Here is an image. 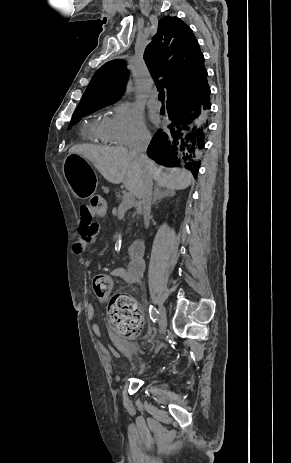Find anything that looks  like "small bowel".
<instances>
[{"label":"small bowel","instance_id":"1","mask_svg":"<svg viewBox=\"0 0 291 463\" xmlns=\"http://www.w3.org/2000/svg\"><path fill=\"white\" fill-rule=\"evenodd\" d=\"M96 210L90 205H84L79 210V227L78 239L73 245V251L76 254H85L89 250L90 245L95 241L99 231L100 225L94 221ZM86 267H92L89 259L83 261ZM144 271V261L142 257L129 256L128 265L126 268H117L111 271L113 277L124 280L128 283H138L141 280ZM94 324V317L90 320Z\"/></svg>","mask_w":291,"mask_h":463}]
</instances>
